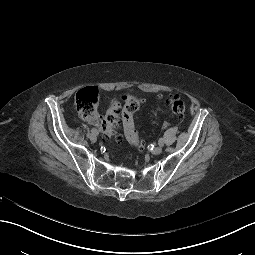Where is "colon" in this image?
<instances>
[{"label":"colon","mask_w":255,"mask_h":255,"mask_svg":"<svg viewBox=\"0 0 255 255\" xmlns=\"http://www.w3.org/2000/svg\"><path fill=\"white\" fill-rule=\"evenodd\" d=\"M124 105L120 106L118 101L113 100L109 105L106 115L101 121L100 128L103 138L106 141H117L116 130L121 123L123 131L128 142L138 149L143 148V143L139 139L135 127L134 115L139 109L142 99L128 95L123 97ZM98 90L94 87H87L79 90L75 96V106L79 115L86 120H95L97 118ZM166 105L177 119L184 116L185 105L178 95L169 96L166 99Z\"/></svg>","instance_id":"obj_1"}]
</instances>
